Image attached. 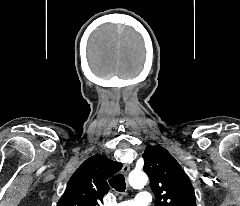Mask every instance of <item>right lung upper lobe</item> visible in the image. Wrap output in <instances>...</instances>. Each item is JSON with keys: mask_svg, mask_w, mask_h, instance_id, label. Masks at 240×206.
<instances>
[{"mask_svg": "<svg viewBox=\"0 0 240 206\" xmlns=\"http://www.w3.org/2000/svg\"><path fill=\"white\" fill-rule=\"evenodd\" d=\"M121 168L105 155L90 157L72 175L57 206H100L109 189L106 180Z\"/></svg>", "mask_w": 240, "mask_h": 206, "instance_id": "obj_1", "label": "right lung upper lobe"}]
</instances>
